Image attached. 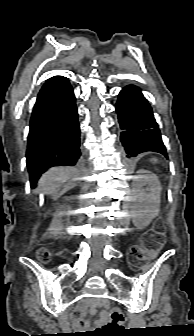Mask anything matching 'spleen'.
<instances>
[{
	"instance_id": "3e777b00",
	"label": "spleen",
	"mask_w": 194,
	"mask_h": 336,
	"mask_svg": "<svg viewBox=\"0 0 194 336\" xmlns=\"http://www.w3.org/2000/svg\"><path fill=\"white\" fill-rule=\"evenodd\" d=\"M151 161L157 162L158 160L156 158H152Z\"/></svg>"
}]
</instances>
